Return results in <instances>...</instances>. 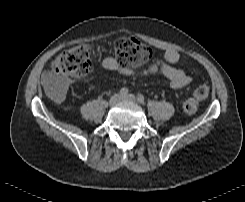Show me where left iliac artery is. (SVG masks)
<instances>
[{"mask_svg":"<svg viewBox=\"0 0 245 202\" xmlns=\"http://www.w3.org/2000/svg\"><path fill=\"white\" fill-rule=\"evenodd\" d=\"M137 100L139 103L144 104V96L142 94L137 95Z\"/></svg>","mask_w":245,"mask_h":202,"instance_id":"44dca946","label":"left iliac artery"}]
</instances>
